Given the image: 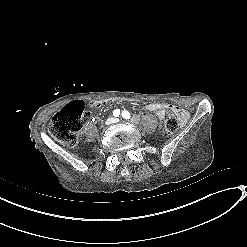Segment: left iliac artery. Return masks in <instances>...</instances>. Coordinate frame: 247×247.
Returning <instances> with one entry per match:
<instances>
[{
	"label": "left iliac artery",
	"instance_id": "obj_1",
	"mask_svg": "<svg viewBox=\"0 0 247 247\" xmlns=\"http://www.w3.org/2000/svg\"><path fill=\"white\" fill-rule=\"evenodd\" d=\"M122 117L125 118V119H130L131 115L128 111L124 110L122 112Z\"/></svg>",
	"mask_w": 247,
	"mask_h": 247
}]
</instances>
